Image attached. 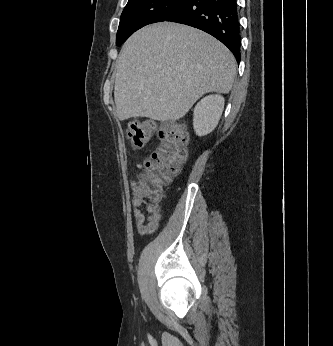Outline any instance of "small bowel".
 Here are the masks:
<instances>
[{
	"label": "small bowel",
	"instance_id": "small-bowel-1",
	"mask_svg": "<svg viewBox=\"0 0 333 346\" xmlns=\"http://www.w3.org/2000/svg\"><path fill=\"white\" fill-rule=\"evenodd\" d=\"M130 187L132 190V213L137 231L140 235L152 234L158 229L162 219L160 207L146 202L141 197L136 179L130 180Z\"/></svg>",
	"mask_w": 333,
	"mask_h": 346
}]
</instances>
